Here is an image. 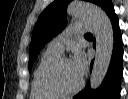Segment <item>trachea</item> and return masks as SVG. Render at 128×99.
Returning a JSON list of instances; mask_svg holds the SVG:
<instances>
[{
	"label": "trachea",
	"mask_w": 128,
	"mask_h": 99,
	"mask_svg": "<svg viewBox=\"0 0 128 99\" xmlns=\"http://www.w3.org/2000/svg\"><path fill=\"white\" fill-rule=\"evenodd\" d=\"M85 35H92L91 33H87V34H85Z\"/></svg>",
	"instance_id": "obj_1"
}]
</instances>
